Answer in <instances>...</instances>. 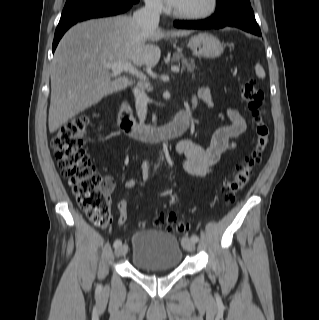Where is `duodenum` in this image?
Listing matches in <instances>:
<instances>
[{"label":"duodenum","mask_w":319,"mask_h":320,"mask_svg":"<svg viewBox=\"0 0 319 320\" xmlns=\"http://www.w3.org/2000/svg\"><path fill=\"white\" fill-rule=\"evenodd\" d=\"M191 111L189 109L180 110L174 119L162 125L137 124L124 104L119 113V126L122 131L134 139L147 142H160L173 139L186 131L189 126Z\"/></svg>","instance_id":"410a0bca"}]
</instances>
